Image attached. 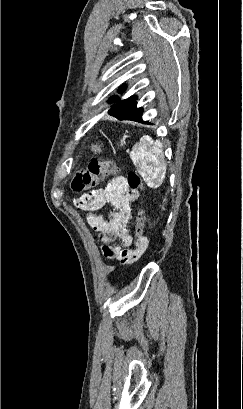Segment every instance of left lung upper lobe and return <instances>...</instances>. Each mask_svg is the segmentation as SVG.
<instances>
[{"mask_svg": "<svg viewBox=\"0 0 243 409\" xmlns=\"http://www.w3.org/2000/svg\"><path fill=\"white\" fill-rule=\"evenodd\" d=\"M124 87H122L120 89V91H123ZM132 100L130 99H125V100H118V98L116 96L112 97L111 100L112 101H116V104L113 105V107L109 110V113L112 114H120V113H124L126 110H131L133 108H136V97L132 96L130 97Z\"/></svg>", "mask_w": 243, "mask_h": 409, "instance_id": "1", "label": "left lung upper lobe"}]
</instances>
